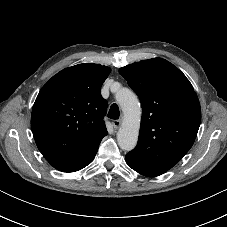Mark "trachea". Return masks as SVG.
<instances>
[{"label":"trachea","mask_w":227,"mask_h":227,"mask_svg":"<svg viewBox=\"0 0 227 227\" xmlns=\"http://www.w3.org/2000/svg\"><path fill=\"white\" fill-rule=\"evenodd\" d=\"M107 116H108L110 119H114V120H116V119L119 118V116H120V111H119V107H118L117 104L114 103V104H112V105L110 106V110H109Z\"/></svg>","instance_id":"obj_1"}]
</instances>
